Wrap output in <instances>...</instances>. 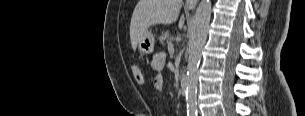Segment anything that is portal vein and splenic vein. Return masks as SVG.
Wrapping results in <instances>:
<instances>
[{
	"label": "portal vein and splenic vein",
	"mask_w": 305,
	"mask_h": 116,
	"mask_svg": "<svg viewBox=\"0 0 305 116\" xmlns=\"http://www.w3.org/2000/svg\"><path fill=\"white\" fill-rule=\"evenodd\" d=\"M168 51H169V53H174V47L171 42L168 43Z\"/></svg>",
	"instance_id": "portal-vein-and-splenic-vein-1"
}]
</instances>
